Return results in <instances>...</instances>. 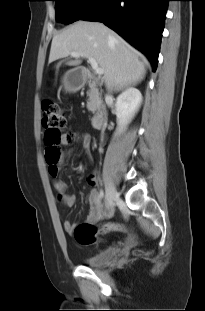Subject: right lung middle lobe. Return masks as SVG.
<instances>
[{"label":"right lung middle lobe","mask_w":205,"mask_h":311,"mask_svg":"<svg viewBox=\"0 0 205 311\" xmlns=\"http://www.w3.org/2000/svg\"><path fill=\"white\" fill-rule=\"evenodd\" d=\"M55 1L56 20L70 24L82 19L95 10L102 0H53Z\"/></svg>","instance_id":"right-lung-middle-lobe-1"}]
</instances>
